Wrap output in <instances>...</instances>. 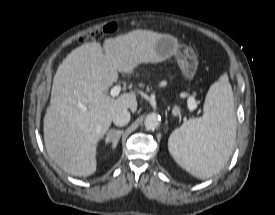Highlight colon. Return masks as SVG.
<instances>
[{
    "instance_id": "1",
    "label": "colon",
    "mask_w": 275,
    "mask_h": 215,
    "mask_svg": "<svg viewBox=\"0 0 275 215\" xmlns=\"http://www.w3.org/2000/svg\"><path fill=\"white\" fill-rule=\"evenodd\" d=\"M116 28H117L116 24L113 22H110L100 28L94 29L89 34L82 36L80 39L82 41H86V40L97 41L103 38L105 35L115 32Z\"/></svg>"
}]
</instances>
